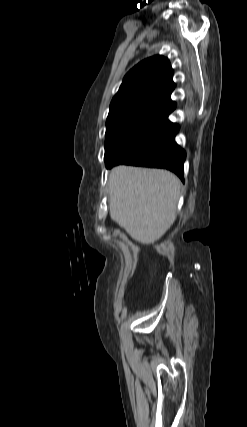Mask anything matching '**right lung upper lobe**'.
I'll return each instance as SVG.
<instances>
[{
    "mask_svg": "<svg viewBox=\"0 0 247 427\" xmlns=\"http://www.w3.org/2000/svg\"><path fill=\"white\" fill-rule=\"evenodd\" d=\"M173 71L167 58L157 55L133 67L110 104L109 114L140 110L148 113L171 102Z\"/></svg>",
    "mask_w": 247,
    "mask_h": 427,
    "instance_id": "cb5924a9",
    "label": "right lung upper lobe"
}]
</instances>
